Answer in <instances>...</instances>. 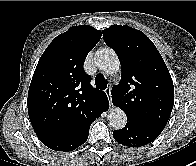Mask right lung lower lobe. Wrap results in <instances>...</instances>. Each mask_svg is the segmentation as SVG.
Instances as JSON below:
<instances>
[{
  "label": "right lung lower lobe",
  "mask_w": 196,
  "mask_h": 166,
  "mask_svg": "<svg viewBox=\"0 0 196 166\" xmlns=\"http://www.w3.org/2000/svg\"><path fill=\"white\" fill-rule=\"evenodd\" d=\"M109 108L108 100L99 101L90 111L89 117L82 128L72 131L53 132L37 135L39 140L55 151H72L87 141L89 128L102 112Z\"/></svg>",
  "instance_id": "obj_1"
}]
</instances>
